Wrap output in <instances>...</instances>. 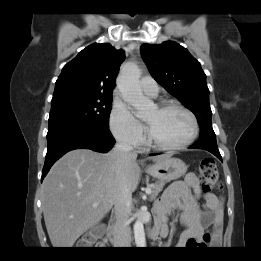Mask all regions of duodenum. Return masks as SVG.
Returning a JSON list of instances; mask_svg holds the SVG:
<instances>
[{
    "label": "duodenum",
    "instance_id": "duodenum-1",
    "mask_svg": "<svg viewBox=\"0 0 261 261\" xmlns=\"http://www.w3.org/2000/svg\"><path fill=\"white\" fill-rule=\"evenodd\" d=\"M163 232H165L164 229L156 227L150 230L149 235L151 237H156ZM98 234L100 236H105L108 243L115 244L116 241H118L117 230L114 227H111L109 232H99Z\"/></svg>",
    "mask_w": 261,
    "mask_h": 261
}]
</instances>
